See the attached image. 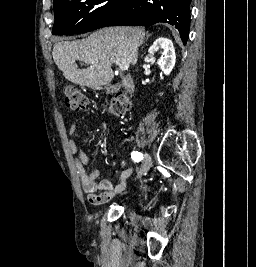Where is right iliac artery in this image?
<instances>
[{"instance_id":"82829eb1","label":"right iliac artery","mask_w":256,"mask_h":267,"mask_svg":"<svg viewBox=\"0 0 256 267\" xmlns=\"http://www.w3.org/2000/svg\"><path fill=\"white\" fill-rule=\"evenodd\" d=\"M131 158L135 161V162H139L143 159V154L138 152V151H133L131 153Z\"/></svg>"}]
</instances>
